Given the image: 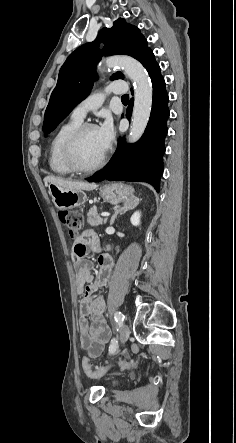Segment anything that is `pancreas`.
<instances>
[{
	"instance_id": "1",
	"label": "pancreas",
	"mask_w": 236,
	"mask_h": 443,
	"mask_svg": "<svg viewBox=\"0 0 236 443\" xmlns=\"http://www.w3.org/2000/svg\"><path fill=\"white\" fill-rule=\"evenodd\" d=\"M107 222V218L103 219L101 218L95 207L90 208L88 214H87V223L91 226H98L105 224Z\"/></svg>"
}]
</instances>
